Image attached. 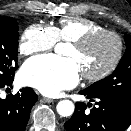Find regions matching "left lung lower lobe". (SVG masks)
I'll return each instance as SVG.
<instances>
[{
    "mask_svg": "<svg viewBox=\"0 0 131 131\" xmlns=\"http://www.w3.org/2000/svg\"><path fill=\"white\" fill-rule=\"evenodd\" d=\"M90 101L96 100V107L86 113V104L77 102L73 116L65 123L67 131H125L131 124V105L104 96H93L85 90L79 92Z\"/></svg>",
    "mask_w": 131,
    "mask_h": 131,
    "instance_id": "left-lung-lower-lobe-1",
    "label": "left lung lower lobe"
}]
</instances>
